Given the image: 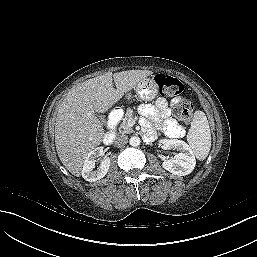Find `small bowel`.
Instances as JSON below:
<instances>
[{
	"label": "small bowel",
	"instance_id": "obj_1",
	"mask_svg": "<svg viewBox=\"0 0 257 257\" xmlns=\"http://www.w3.org/2000/svg\"><path fill=\"white\" fill-rule=\"evenodd\" d=\"M183 99L176 98L169 103L164 98H158L154 105L142 104L140 106V112L146 118L152 120L161 127L165 134L170 137H176L182 135V128L176 123V121L170 118L171 105H177ZM151 134V131H147V136Z\"/></svg>",
	"mask_w": 257,
	"mask_h": 257
}]
</instances>
